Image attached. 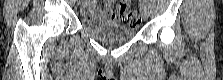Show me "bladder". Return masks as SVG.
<instances>
[{
  "label": "bladder",
  "mask_w": 223,
  "mask_h": 80,
  "mask_svg": "<svg viewBox=\"0 0 223 80\" xmlns=\"http://www.w3.org/2000/svg\"><path fill=\"white\" fill-rule=\"evenodd\" d=\"M83 29L91 36L106 42L126 41L136 35V28L103 19L84 17Z\"/></svg>",
  "instance_id": "obj_1"
}]
</instances>
